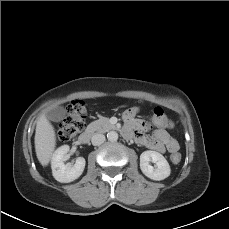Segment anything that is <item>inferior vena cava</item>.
Returning a JSON list of instances; mask_svg holds the SVG:
<instances>
[{
  "label": "inferior vena cava",
  "mask_w": 229,
  "mask_h": 229,
  "mask_svg": "<svg viewBox=\"0 0 229 229\" xmlns=\"http://www.w3.org/2000/svg\"><path fill=\"white\" fill-rule=\"evenodd\" d=\"M105 141V136L101 133H96L92 136L91 142L93 145H101Z\"/></svg>",
  "instance_id": "1"
}]
</instances>
